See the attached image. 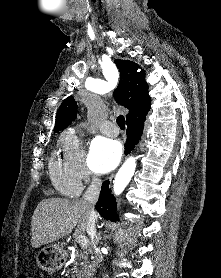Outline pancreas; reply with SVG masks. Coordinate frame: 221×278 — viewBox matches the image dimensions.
<instances>
[{"mask_svg": "<svg viewBox=\"0 0 221 278\" xmlns=\"http://www.w3.org/2000/svg\"><path fill=\"white\" fill-rule=\"evenodd\" d=\"M74 260L71 262L73 266V278H91L94 272V265L90 264L88 261V256L85 252H76L74 255ZM77 259L83 262H80L82 268H77Z\"/></svg>", "mask_w": 221, "mask_h": 278, "instance_id": "cf45deb5", "label": "pancreas"}]
</instances>
